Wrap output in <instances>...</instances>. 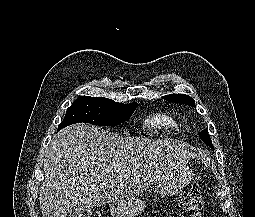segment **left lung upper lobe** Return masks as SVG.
Returning <instances> with one entry per match:
<instances>
[{
    "mask_svg": "<svg viewBox=\"0 0 255 217\" xmlns=\"http://www.w3.org/2000/svg\"><path fill=\"white\" fill-rule=\"evenodd\" d=\"M162 98L167 101H170V102H176V103H180V104L195 106L194 99L188 95H185V94H171V95L163 96ZM199 136L205 144H207L209 147L213 148L212 141L210 139V136H209L207 130H203L199 134Z\"/></svg>",
    "mask_w": 255,
    "mask_h": 217,
    "instance_id": "5c2ea615",
    "label": "left lung upper lobe"
}]
</instances>
